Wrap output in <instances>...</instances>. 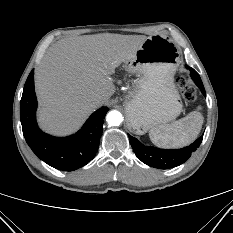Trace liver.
Wrapping results in <instances>:
<instances>
[{"label": "liver", "mask_w": 233, "mask_h": 233, "mask_svg": "<svg viewBox=\"0 0 233 233\" xmlns=\"http://www.w3.org/2000/svg\"><path fill=\"white\" fill-rule=\"evenodd\" d=\"M148 37L103 33L65 38L49 47L35 69L38 122L51 134L77 130L115 92L110 76ZM96 95L103 98L96 100Z\"/></svg>", "instance_id": "6515ba94"}]
</instances>
